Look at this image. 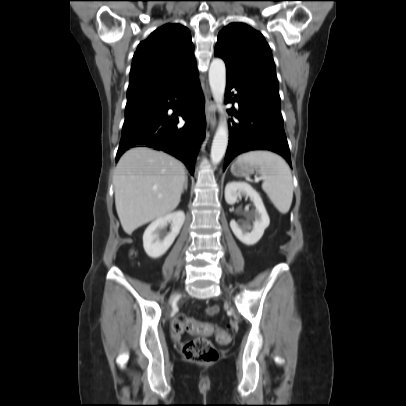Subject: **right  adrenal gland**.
<instances>
[{"mask_svg":"<svg viewBox=\"0 0 406 406\" xmlns=\"http://www.w3.org/2000/svg\"><path fill=\"white\" fill-rule=\"evenodd\" d=\"M187 187H188V176H185V182H184V186L182 189V193L184 192V190H187Z\"/></svg>","mask_w":406,"mask_h":406,"instance_id":"obj_1","label":"right adrenal gland"}]
</instances>
